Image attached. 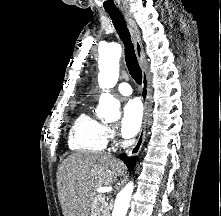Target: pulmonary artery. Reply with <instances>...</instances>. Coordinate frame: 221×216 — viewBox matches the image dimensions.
Wrapping results in <instances>:
<instances>
[{
  "label": "pulmonary artery",
  "instance_id": "obj_1",
  "mask_svg": "<svg viewBox=\"0 0 221 216\" xmlns=\"http://www.w3.org/2000/svg\"><path fill=\"white\" fill-rule=\"evenodd\" d=\"M118 91L124 95V96H129L132 94V88L130 84L127 82H122L117 86Z\"/></svg>",
  "mask_w": 221,
  "mask_h": 216
}]
</instances>
